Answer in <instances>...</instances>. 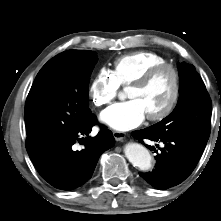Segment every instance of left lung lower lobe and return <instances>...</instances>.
Here are the masks:
<instances>
[{
	"mask_svg": "<svg viewBox=\"0 0 221 221\" xmlns=\"http://www.w3.org/2000/svg\"><path fill=\"white\" fill-rule=\"evenodd\" d=\"M143 143V139L160 141L164 147L157 153L156 167L151 172L139 175L153 187L164 190L183 182L194 170L206 142L186 136H166L154 132L152 127L132 132ZM149 149L154 147L146 145Z\"/></svg>",
	"mask_w": 221,
	"mask_h": 221,
	"instance_id": "0a47b994",
	"label": "left lung lower lobe"
}]
</instances>
